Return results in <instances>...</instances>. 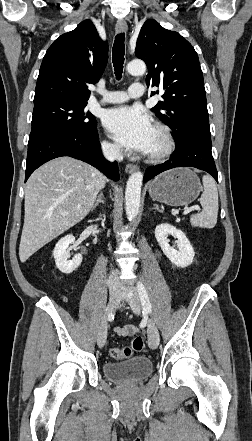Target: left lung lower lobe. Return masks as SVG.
I'll use <instances>...</instances> for the list:
<instances>
[{"label": "left lung lower lobe", "mask_w": 252, "mask_h": 441, "mask_svg": "<svg viewBox=\"0 0 252 441\" xmlns=\"http://www.w3.org/2000/svg\"><path fill=\"white\" fill-rule=\"evenodd\" d=\"M176 149L171 158L160 165L149 167L143 182L159 173L176 167L191 166L208 172L218 181L217 170L211 152V135L208 126L193 124L175 139Z\"/></svg>", "instance_id": "left-lung-lower-lobe-1"}]
</instances>
